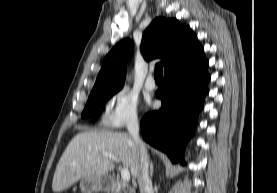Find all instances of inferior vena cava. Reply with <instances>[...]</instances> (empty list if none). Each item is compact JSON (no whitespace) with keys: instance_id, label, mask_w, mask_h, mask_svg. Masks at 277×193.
Here are the masks:
<instances>
[{"instance_id":"602c4592","label":"inferior vena cava","mask_w":277,"mask_h":193,"mask_svg":"<svg viewBox=\"0 0 277 193\" xmlns=\"http://www.w3.org/2000/svg\"><path fill=\"white\" fill-rule=\"evenodd\" d=\"M129 135L135 141L140 154V171L137 176L140 193H153L152 182L149 177V156L145 145L139 138V122L137 116H132L127 124Z\"/></svg>"}]
</instances>
